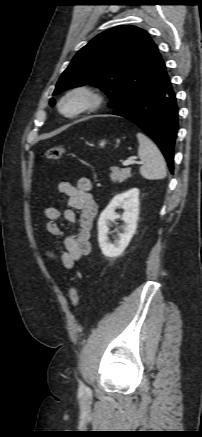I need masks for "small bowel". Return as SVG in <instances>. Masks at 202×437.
Masks as SVG:
<instances>
[{
  "instance_id": "c3829d8e",
  "label": "small bowel",
  "mask_w": 202,
  "mask_h": 437,
  "mask_svg": "<svg viewBox=\"0 0 202 437\" xmlns=\"http://www.w3.org/2000/svg\"><path fill=\"white\" fill-rule=\"evenodd\" d=\"M91 190L92 183L86 177L79 178L75 184L60 182L57 192L67 197L68 208L62 215L55 207H46L43 211L46 230L53 236L64 238V248L59 254L46 249L44 255L66 269H72L91 252L90 232L98 212V205L92 197ZM61 216L69 224L78 223L79 229L72 234H65L59 226Z\"/></svg>"
}]
</instances>
